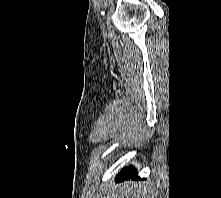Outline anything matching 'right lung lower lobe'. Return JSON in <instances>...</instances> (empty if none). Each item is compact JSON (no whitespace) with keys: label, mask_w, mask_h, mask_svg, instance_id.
Returning <instances> with one entry per match:
<instances>
[{"label":"right lung lower lobe","mask_w":221,"mask_h":198,"mask_svg":"<svg viewBox=\"0 0 221 198\" xmlns=\"http://www.w3.org/2000/svg\"><path fill=\"white\" fill-rule=\"evenodd\" d=\"M128 178H137V173L135 169L131 168H124L119 175H117V181L128 179Z\"/></svg>","instance_id":"obj_1"}]
</instances>
